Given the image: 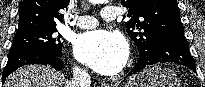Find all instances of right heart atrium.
Here are the masks:
<instances>
[{
	"label": "right heart atrium",
	"instance_id": "right-heart-atrium-1",
	"mask_svg": "<svg viewBox=\"0 0 205 87\" xmlns=\"http://www.w3.org/2000/svg\"><path fill=\"white\" fill-rule=\"evenodd\" d=\"M75 69H76L77 72H83L84 71V69L82 67H78V66Z\"/></svg>",
	"mask_w": 205,
	"mask_h": 87
}]
</instances>
